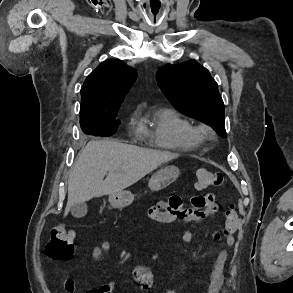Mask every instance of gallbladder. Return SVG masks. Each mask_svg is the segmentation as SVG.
Masks as SVG:
<instances>
[{"label":"gallbladder","mask_w":293,"mask_h":293,"mask_svg":"<svg viewBox=\"0 0 293 293\" xmlns=\"http://www.w3.org/2000/svg\"><path fill=\"white\" fill-rule=\"evenodd\" d=\"M71 213L76 218L84 217L87 214L86 203H77L71 207Z\"/></svg>","instance_id":"1"}]
</instances>
